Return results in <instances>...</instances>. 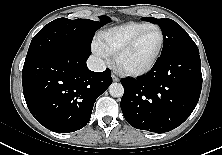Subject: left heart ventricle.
<instances>
[{"label":"left heart ventricle","mask_w":222,"mask_h":155,"mask_svg":"<svg viewBox=\"0 0 222 155\" xmlns=\"http://www.w3.org/2000/svg\"><path fill=\"white\" fill-rule=\"evenodd\" d=\"M160 45V34L157 30L148 31L137 44L126 53L121 65L126 69H141L147 66L154 58Z\"/></svg>","instance_id":"b2bd125f"}]
</instances>
